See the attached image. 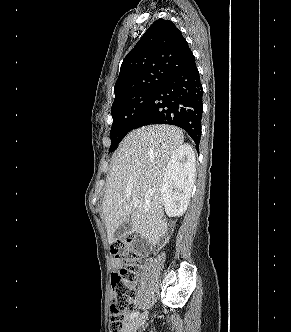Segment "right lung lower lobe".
<instances>
[{
    "label": "right lung lower lobe",
    "instance_id": "right-lung-lower-lobe-1",
    "mask_svg": "<svg viewBox=\"0 0 291 332\" xmlns=\"http://www.w3.org/2000/svg\"><path fill=\"white\" fill-rule=\"evenodd\" d=\"M203 89L195 60L170 73L137 116L133 129L150 124L178 126L199 146Z\"/></svg>",
    "mask_w": 291,
    "mask_h": 332
}]
</instances>
